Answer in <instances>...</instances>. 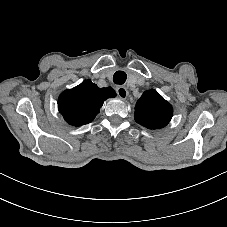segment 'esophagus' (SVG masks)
<instances>
[{
    "label": "esophagus",
    "mask_w": 227,
    "mask_h": 227,
    "mask_svg": "<svg viewBox=\"0 0 227 227\" xmlns=\"http://www.w3.org/2000/svg\"><path fill=\"white\" fill-rule=\"evenodd\" d=\"M116 92H117V94H118V96H119L120 99H123V100L127 99V97H128V91H127L126 87H124V86H117L116 87Z\"/></svg>",
    "instance_id": "34e87169"
}]
</instances>
